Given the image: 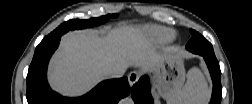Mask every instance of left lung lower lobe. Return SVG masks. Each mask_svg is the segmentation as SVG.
Returning a JSON list of instances; mask_svg holds the SVG:
<instances>
[{"label": "left lung lower lobe", "instance_id": "obj_1", "mask_svg": "<svg viewBox=\"0 0 252 104\" xmlns=\"http://www.w3.org/2000/svg\"><path fill=\"white\" fill-rule=\"evenodd\" d=\"M187 49V46H186ZM203 56L207 67L209 69L212 81H213V92L211 101L209 104H220L222 98V87H221V71L219 62L215 55H201ZM150 83L147 76H142L137 83L131 88V95L135 104H153V98L150 93Z\"/></svg>", "mask_w": 252, "mask_h": 104}]
</instances>
